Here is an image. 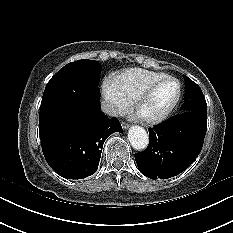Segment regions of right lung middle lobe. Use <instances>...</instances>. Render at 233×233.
<instances>
[{"instance_id":"obj_1","label":"right lung middle lobe","mask_w":233,"mask_h":233,"mask_svg":"<svg viewBox=\"0 0 233 233\" xmlns=\"http://www.w3.org/2000/svg\"><path fill=\"white\" fill-rule=\"evenodd\" d=\"M101 66L93 60H79L64 66L46 85L39 113V125L56 119H74L77 103L84 95L99 98Z\"/></svg>"}]
</instances>
